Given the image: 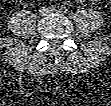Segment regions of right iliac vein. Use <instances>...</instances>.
I'll return each instance as SVG.
<instances>
[{"instance_id":"1","label":"right iliac vein","mask_w":111,"mask_h":106,"mask_svg":"<svg viewBox=\"0 0 111 106\" xmlns=\"http://www.w3.org/2000/svg\"><path fill=\"white\" fill-rule=\"evenodd\" d=\"M48 12V10L46 8H43L39 11L40 15H44Z\"/></svg>"}]
</instances>
